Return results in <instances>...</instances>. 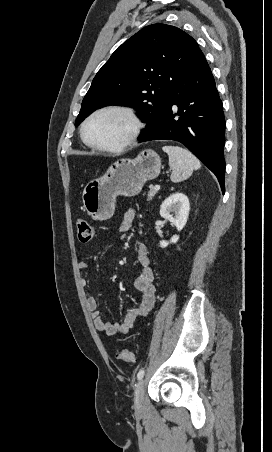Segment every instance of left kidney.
<instances>
[{"instance_id": "1", "label": "left kidney", "mask_w": 272, "mask_h": 452, "mask_svg": "<svg viewBox=\"0 0 272 452\" xmlns=\"http://www.w3.org/2000/svg\"><path fill=\"white\" fill-rule=\"evenodd\" d=\"M190 210L188 197L183 193L171 194L164 200L160 207V215L174 225L178 231H181L187 222ZM179 239L178 235H173L170 241H160V247L165 248L170 243H176Z\"/></svg>"}]
</instances>
